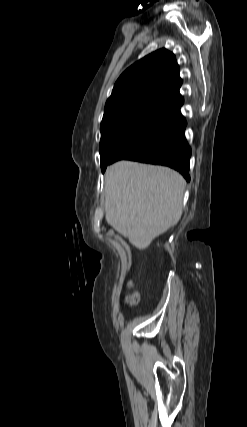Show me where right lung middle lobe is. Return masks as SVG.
Returning a JSON list of instances; mask_svg holds the SVG:
<instances>
[{
  "instance_id": "1",
  "label": "right lung middle lobe",
  "mask_w": 247,
  "mask_h": 427,
  "mask_svg": "<svg viewBox=\"0 0 247 427\" xmlns=\"http://www.w3.org/2000/svg\"><path fill=\"white\" fill-rule=\"evenodd\" d=\"M151 112L146 109H126L103 116L100 141L102 170L126 136Z\"/></svg>"
}]
</instances>
